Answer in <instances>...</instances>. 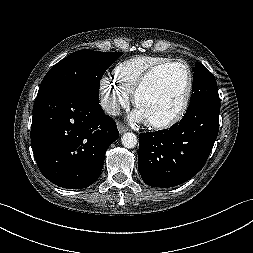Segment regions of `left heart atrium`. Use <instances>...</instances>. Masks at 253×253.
<instances>
[{"mask_svg": "<svg viewBox=\"0 0 253 253\" xmlns=\"http://www.w3.org/2000/svg\"><path fill=\"white\" fill-rule=\"evenodd\" d=\"M131 122L139 123L145 121V118L138 108H135L129 115Z\"/></svg>", "mask_w": 253, "mask_h": 253, "instance_id": "left-heart-atrium-1", "label": "left heart atrium"}]
</instances>
